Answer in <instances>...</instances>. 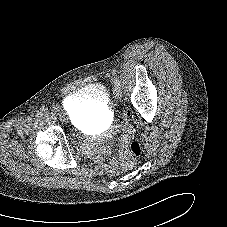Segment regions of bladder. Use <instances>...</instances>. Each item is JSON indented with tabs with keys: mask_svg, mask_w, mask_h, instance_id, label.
Returning a JSON list of instances; mask_svg holds the SVG:
<instances>
[{
	"mask_svg": "<svg viewBox=\"0 0 227 227\" xmlns=\"http://www.w3.org/2000/svg\"><path fill=\"white\" fill-rule=\"evenodd\" d=\"M108 101L106 88L94 83L72 93L66 105L69 107L68 113L73 122L80 128H88L108 116Z\"/></svg>",
	"mask_w": 227,
	"mask_h": 227,
	"instance_id": "1",
	"label": "bladder"
}]
</instances>
